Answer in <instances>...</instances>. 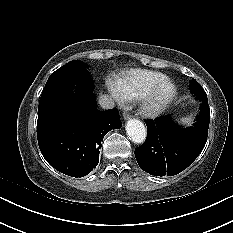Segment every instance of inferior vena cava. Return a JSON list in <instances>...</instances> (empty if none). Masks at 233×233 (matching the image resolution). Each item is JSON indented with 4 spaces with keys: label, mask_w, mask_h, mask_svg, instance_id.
Returning <instances> with one entry per match:
<instances>
[{
    "label": "inferior vena cava",
    "mask_w": 233,
    "mask_h": 233,
    "mask_svg": "<svg viewBox=\"0 0 233 233\" xmlns=\"http://www.w3.org/2000/svg\"><path fill=\"white\" fill-rule=\"evenodd\" d=\"M99 104L104 110L114 108V100L109 95H101L99 96Z\"/></svg>",
    "instance_id": "602c4592"
}]
</instances>
